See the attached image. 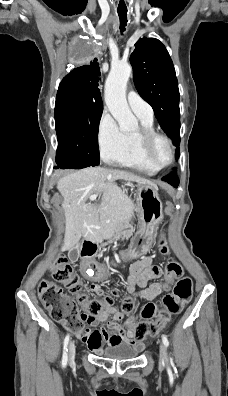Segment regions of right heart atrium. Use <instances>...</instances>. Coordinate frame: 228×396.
<instances>
[{
  "label": "right heart atrium",
  "instance_id": "right-heart-atrium-1",
  "mask_svg": "<svg viewBox=\"0 0 228 396\" xmlns=\"http://www.w3.org/2000/svg\"><path fill=\"white\" fill-rule=\"evenodd\" d=\"M97 140L102 157L114 161L124 150L126 135L120 130L112 115L103 110L97 125Z\"/></svg>",
  "mask_w": 228,
  "mask_h": 396
}]
</instances>
